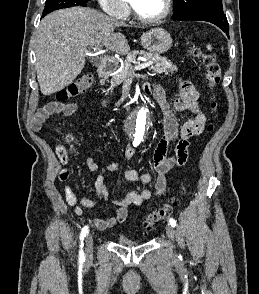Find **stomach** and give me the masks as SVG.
I'll return each instance as SVG.
<instances>
[{
	"mask_svg": "<svg viewBox=\"0 0 259 294\" xmlns=\"http://www.w3.org/2000/svg\"><path fill=\"white\" fill-rule=\"evenodd\" d=\"M172 37L163 28H153L141 36V44L151 54L159 55L172 47Z\"/></svg>",
	"mask_w": 259,
	"mask_h": 294,
	"instance_id": "stomach-1",
	"label": "stomach"
}]
</instances>
